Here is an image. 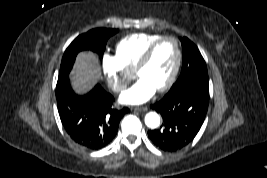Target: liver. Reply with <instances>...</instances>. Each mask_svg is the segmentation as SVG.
Wrapping results in <instances>:
<instances>
[{
	"mask_svg": "<svg viewBox=\"0 0 267 178\" xmlns=\"http://www.w3.org/2000/svg\"><path fill=\"white\" fill-rule=\"evenodd\" d=\"M101 78L99 60L92 52H81L71 72L73 87L78 93H85Z\"/></svg>",
	"mask_w": 267,
	"mask_h": 178,
	"instance_id": "obj_1",
	"label": "liver"
}]
</instances>
